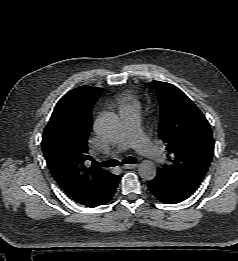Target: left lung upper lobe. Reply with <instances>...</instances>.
Wrapping results in <instances>:
<instances>
[{
  "mask_svg": "<svg viewBox=\"0 0 238 261\" xmlns=\"http://www.w3.org/2000/svg\"><path fill=\"white\" fill-rule=\"evenodd\" d=\"M159 107V138L166 144L169 164L159 170L196 189L214 155L209 122L199 108L176 86L153 81Z\"/></svg>",
  "mask_w": 238,
  "mask_h": 261,
  "instance_id": "obj_1",
  "label": "left lung upper lobe"
}]
</instances>
